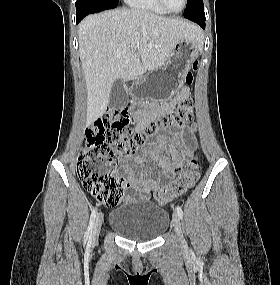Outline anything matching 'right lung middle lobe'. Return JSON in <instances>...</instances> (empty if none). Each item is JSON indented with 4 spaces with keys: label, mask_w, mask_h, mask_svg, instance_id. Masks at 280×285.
Wrapping results in <instances>:
<instances>
[{
    "label": "right lung middle lobe",
    "mask_w": 280,
    "mask_h": 285,
    "mask_svg": "<svg viewBox=\"0 0 280 285\" xmlns=\"http://www.w3.org/2000/svg\"><path fill=\"white\" fill-rule=\"evenodd\" d=\"M119 0H77L76 16H86L91 13L117 7Z\"/></svg>",
    "instance_id": "1"
}]
</instances>
